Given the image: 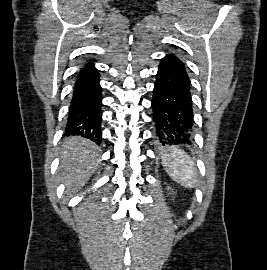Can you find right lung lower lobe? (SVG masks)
<instances>
[{
    "mask_svg": "<svg viewBox=\"0 0 267 270\" xmlns=\"http://www.w3.org/2000/svg\"><path fill=\"white\" fill-rule=\"evenodd\" d=\"M98 70L88 64L78 73L65 128L66 135H79L100 144L102 141V94Z\"/></svg>",
    "mask_w": 267,
    "mask_h": 270,
    "instance_id": "1",
    "label": "right lung lower lobe"
}]
</instances>
